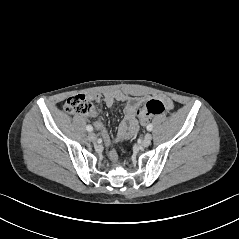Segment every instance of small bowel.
<instances>
[{
	"label": "small bowel",
	"mask_w": 239,
	"mask_h": 239,
	"mask_svg": "<svg viewBox=\"0 0 239 239\" xmlns=\"http://www.w3.org/2000/svg\"><path fill=\"white\" fill-rule=\"evenodd\" d=\"M89 98L96 102H100L101 100H104L105 104L108 107H112L116 102H120L123 105L124 119L120 123L117 134L114 138L104 128V125L101 119L98 118L94 121L95 128L100 131L104 141L107 144L111 143L113 140L125 141L136 133V131L138 130V121H137L136 112L139 105L145 99L140 97L129 96L120 91H112V92H107L105 94H99V93L91 94L89 95ZM164 104L167 109L173 108V102L168 98L164 99ZM96 113L97 112H93L92 116L96 115ZM109 156L111 158H115L116 152L113 150L110 151Z\"/></svg>",
	"instance_id": "small-bowel-1"
}]
</instances>
